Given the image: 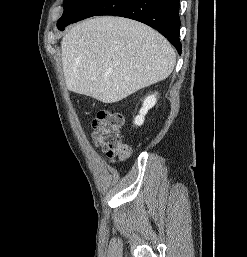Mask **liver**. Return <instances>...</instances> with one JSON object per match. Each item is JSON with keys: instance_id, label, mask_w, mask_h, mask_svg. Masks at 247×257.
Instances as JSON below:
<instances>
[{"instance_id": "1", "label": "liver", "mask_w": 247, "mask_h": 257, "mask_svg": "<svg viewBox=\"0 0 247 257\" xmlns=\"http://www.w3.org/2000/svg\"><path fill=\"white\" fill-rule=\"evenodd\" d=\"M69 91L115 103L166 79L176 55L151 27L126 18L103 16L72 27L61 42Z\"/></svg>"}]
</instances>
